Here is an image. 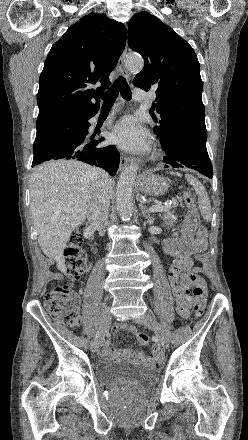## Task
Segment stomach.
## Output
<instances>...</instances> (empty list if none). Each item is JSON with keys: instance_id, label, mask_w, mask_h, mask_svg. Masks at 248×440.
<instances>
[{"instance_id": "stomach-1", "label": "stomach", "mask_w": 248, "mask_h": 440, "mask_svg": "<svg viewBox=\"0 0 248 440\" xmlns=\"http://www.w3.org/2000/svg\"><path fill=\"white\" fill-rule=\"evenodd\" d=\"M169 185L163 177L156 175L142 176L137 182V189L150 196H161L168 191Z\"/></svg>"}]
</instances>
